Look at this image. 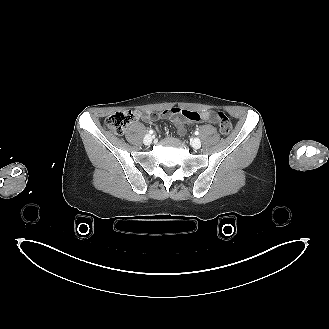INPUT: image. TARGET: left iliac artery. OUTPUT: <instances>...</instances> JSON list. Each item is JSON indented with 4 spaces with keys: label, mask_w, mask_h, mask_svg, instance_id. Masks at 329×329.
Returning <instances> with one entry per match:
<instances>
[{
    "label": "left iliac artery",
    "mask_w": 329,
    "mask_h": 329,
    "mask_svg": "<svg viewBox=\"0 0 329 329\" xmlns=\"http://www.w3.org/2000/svg\"><path fill=\"white\" fill-rule=\"evenodd\" d=\"M195 135H199V132L198 131H195Z\"/></svg>",
    "instance_id": "1"
}]
</instances>
